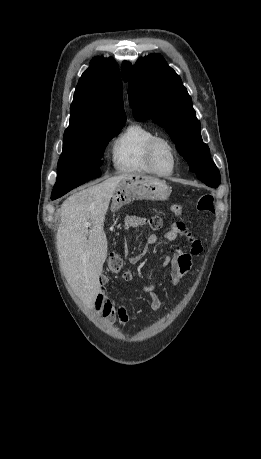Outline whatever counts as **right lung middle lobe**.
Returning a JSON list of instances; mask_svg holds the SVG:
<instances>
[{"label": "right lung middle lobe", "mask_w": 261, "mask_h": 459, "mask_svg": "<svg viewBox=\"0 0 261 459\" xmlns=\"http://www.w3.org/2000/svg\"><path fill=\"white\" fill-rule=\"evenodd\" d=\"M123 125L124 123L97 126L64 139L52 200L101 175L99 167L102 165L101 157L105 147Z\"/></svg>", "instance_id": "obj_1"}]
</instances>
